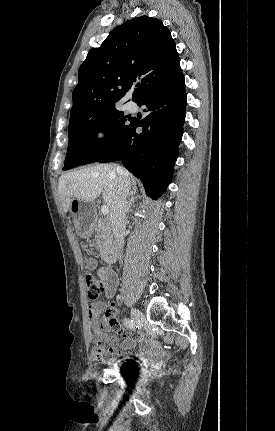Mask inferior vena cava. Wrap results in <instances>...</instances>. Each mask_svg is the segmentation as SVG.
<instances>
[{
  "mask_svg": "<svg viewBox=\"0 0 275 431\" xmlns=\"http://www.w3.org/2000/svg\"><path fill=\"white\" fill-rule=\"evenodd\" d=\"M116 172L118 174L119 189L112 204L109 219L115 241L122 250L124 244V231L126 227V198L129 194L130 181L122 167L118 166L116 168Z\"/></svg>",
  "mask_w": 275,
  "mask_h": 431,
  "instance_id": "obj_1",
  "label": "inferior vena cava"
}]
</instances>
